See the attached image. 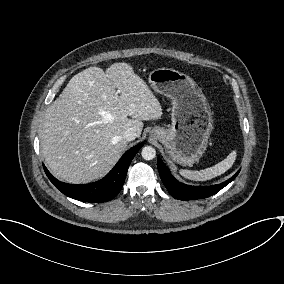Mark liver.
I'll return each mask as SVG.
<instances>
[{"label":"liver","instance_id":"obj_1","mask_svg":"<svg viewBox=\"0 0 284 284\" xmlns=\"http://www.w3.org/2000/svg\"><path fill=\"white\" fill-rule=\"evenodd\" d=\"M161 116L158 99L130 64L114 63L105 72L89 67L74 75L48 106L40 134L42 155L58 179L89 183L118 161L127 147L126 129L140 137L142 121Z\"/></svg>","mask_w":284,"mask_h":284}]
</instances>
